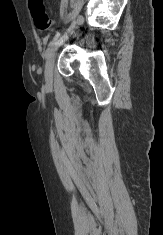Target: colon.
I'll return each mask as SVG.
<instances>
[{
	"instance_id": "5ec220e1",
	"label": "colon",
	"mask_w": 163,
	"mask_h": 235,
	"mask_svg": "<svg viewBox=\"0 0 163 235\" xmlns=\"http://www.w3.org/2000/svg\"><path fill=\"white\" fill-rule=\"evenodd\" d=\"M29 9L38 30L46 31L51 28L53 21L46 13L43 0H29Z\"/></svg>"
}]
</instances>
